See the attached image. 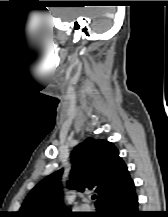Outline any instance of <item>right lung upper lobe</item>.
<instances>
[{
    "mask_svg": "<svg viewBox=\"0 0 168 217\" xmlns=\"http://www.w3.org/2000/svg\"><path fill=\"white\" fill-rule=\"evenodd\" d=\"M70 157L72 169L67 187L80 192L85 189L97 192V209L134 187L126 164L111 142L86 138ZM62 173L63 169L58 170L39 182L26 197L18 217L73 215L63 204Z\"/></svg>",
    "mask_w": 168,
    "mask_h": 217,
    "instance_id": "obj_1",
    "label": "right lung upper lobe"
}]
</instances>
